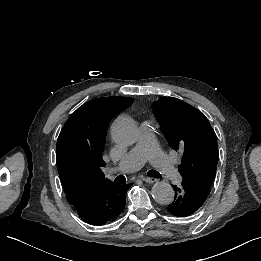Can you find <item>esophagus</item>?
<instances>
[{
	"label": "esophagus",
	"mask_w": 261,
	"mask_h": 261,
	"mask_svg": "<svg viewBox=\"0 0 261 261\" xmlns=\"http://www.w3.org/2000/svg\"><path fill=\"white\" fill-rule=\"evenodd\" d=\"M143 180H144L146 183H149V184H152V183L157 182V179H156V178L146 177V178H143Z\"/></svg>",
	"instance_id": "34e87169"
}]
</instances>
